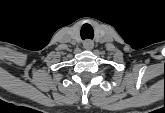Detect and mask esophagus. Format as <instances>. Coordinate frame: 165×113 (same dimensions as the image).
I'll use <instances>...</instances> for the list:
<instances>
[{
    "instance_id": "obj_1",
    "label": "esophagus",
    "mask_w": 165,
    "mask_h": 113,
    "mask_svg": "<svg viewBox=\"0 0 165 113\" xmlns=\"http://www.w3.org/2000/svg\"><path fill=\"white\" fill-rule=\"evenodd\" d=\"M83 46L86 50H92L94 47V43L91 40H85Z\"/></svg>"
}]
</instances>
